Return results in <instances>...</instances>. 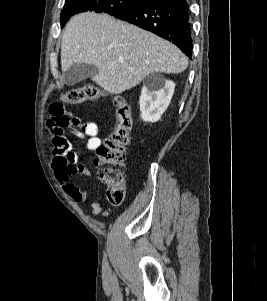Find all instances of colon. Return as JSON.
<instances>
[{"label": "colon", "mask_w": 267, "mask_h": 301, "mask_svg": "<svg viewBox=\"0 0 267 301\" xmlns=\"http://www.w3.org/2000/svg\"><path fill=\"white\" fill-rule=\"evenodd\" d=\"M104 96L106 93L102 89L88 84L62 93L60 99L66 103L79 104ZM113 101L116 109V125L110 136L97 148L94 164L104 167L100 178L106 185L108 201L112 205H120L125 197V176L120 168L125 164V149L129 142L132 118L130 105L125 98L116 96Z\"/></svg>", "instance_id": "5ec220e1"}]
</instances>
